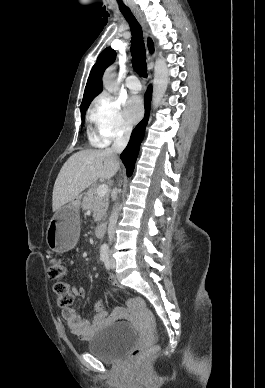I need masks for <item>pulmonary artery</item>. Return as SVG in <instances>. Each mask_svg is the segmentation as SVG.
Masks as SVG:
<instances>
[{"label": "pulmonary artery", "instance_id": "pulmonary-artery-1", "mask_svg": "<svg viewBox=\"0 0 265 388\" xmlns=\"http://www.w3.org/2000/svg\"><path fill=\"white\" fill-rule=\"evenodd\" d=\"M139 79V75H128L126 77V80L129 82L131 94H140Z\"/></svg>", "mask_w": 265, "mask_h": 388}]
</instances>
